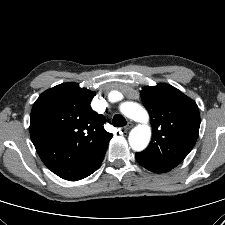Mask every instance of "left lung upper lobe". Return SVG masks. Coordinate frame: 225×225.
Returning a JSON list of instances; mask_svg holds the SVG:
<instances>
[{"label": "left lung upper lobe", "mask_w": 225, "mask_h": 225, "mask_svg": "<svg viewBox=\"0 0 225 225\" xmlns=\"http://www.w3.org/2000/svg\"><path fill=\"white\" fill-rule=\"evenodd\" d=\"M141 99L153 129L149 146L138 153L168 169H173L192 150L198 137L200 115L197 104L175 87L161 83L147 86Z\"/></svg>", "instance_id": "5c2ea615"}]
</instances>
